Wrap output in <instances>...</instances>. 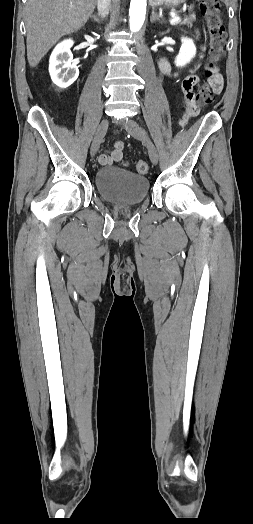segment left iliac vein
Wrapping results in <instances>:
<instances>
[{
  "mask_svg": "<svg viewBox=\"0 0 253 524\" xmlns=\"http://www.w3.org/2000/svg\"><path fill=\"white\" fill-rule=\"evenodd\" d=\"M122 125L124 128L128 131L130 135H132L136 139H140L144 142L148 149L150 160L153 164H157L158 162V152L151 141V139L148 137V135L145 133V131L141 128V126L132 119H125L122 121Z\"/></svg>",
  "mask_w": 253,
  "mask_h": 524,
  "instance_id": "obj_1",
  "label": "left iliac vein"
}]
</instances>
